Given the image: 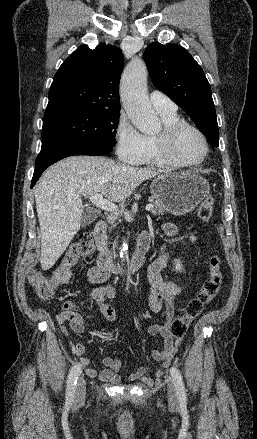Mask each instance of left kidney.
I'll use <instances>...</instances> for the list:
<instances>
[{"instance_id":"obj_1","label":"left kidney","mask_w":257,"mask_h":439,"mask_svg":"<svg viewBox=\"0 0 257 439\" xmlns=\"http://www.w3.org/2000/svg\"><path fill=\"white\" fill-rule=\"evenodd\" d=\"M175 261V270L178 272V271H181L182 270V264H181V261L180 260H178V259H176V260H174Z\"/></svg>"}]
</instances>
